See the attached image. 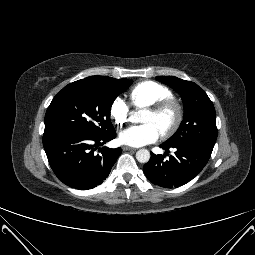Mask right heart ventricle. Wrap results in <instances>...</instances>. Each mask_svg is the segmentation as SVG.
I'll return each instance as SVG.
<instances>
[{
    "mask_svg": "<svg viewBox=\"0 0 255 255\" xmlns=\"http://www.w3.org/2000/svg\"><path fill=\"white\" fill-rule=\"evenodd\" d=\"M173 97L172 91L155 81H143L129 91L131 103L136 108H144L160 100Z\"/></svg>",
    "mask_w": 255,
    "mask_h": 255,
    "instance_id": "e07e8e85",
    "label": "right heart ventricle"
}]
</instances>
